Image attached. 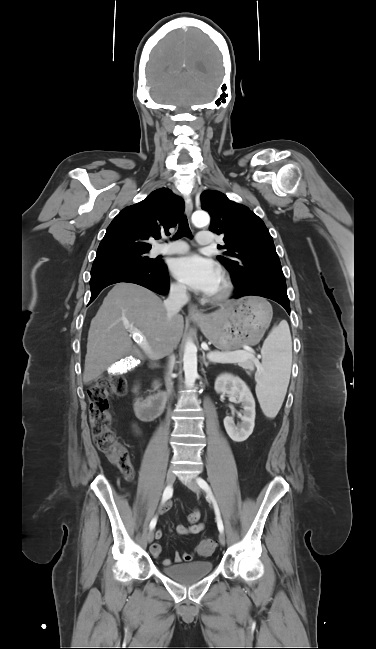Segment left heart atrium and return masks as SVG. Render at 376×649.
Listing matches in <instances>:
<instances>
[{"label":"left heart atrium","mask_w":376,"mask_h":649,"mask_svg":"<svg viewBox=\"0 0 376 649\" xmlns=\"http://www.w3.org/2000/svg\"><path fill=\"white\" fill-rule=\"evenodd\" d=\"M171 269L179 282L194 291L206 294H211L220 281L218 265L195 254L175 259Z\"/></svg>","instance_id":"1"}]
</instances>
